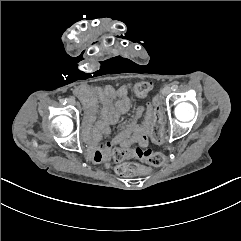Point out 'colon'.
I'll use <instances>...</instances> for the list:
<instances>
[{"label":"colon","instance_id":"5ec220e1","mask_svg":"<svg viewBox=\"0 0 241 241\" xmlns=\"http://www.w3.org/2000/svg\"><path fill=\"white\" fill-rule=\"evenodd\" d=\"M136 91L141 96H146L151 91V86L146 81H141L136 86ZM153 104L155 110V124L152 130V140L159 144L163 141V117L162 112L159 111V102L158 98H153ZM112 158L116 162H120L127 158H140L148 163L144 165H137L131 162L126 163L125 165H117L114 168L115 173L122 176H131L135 174L143 175L152 171V166H160L165 162V157L159 153L154 152L150 148L142 147L139 145L125 148L124 153H112ZM150 164V165H149ZM152 165V166H151Z\"/></svg>","mask_w":241,"mask_h":241}]
</instances>
